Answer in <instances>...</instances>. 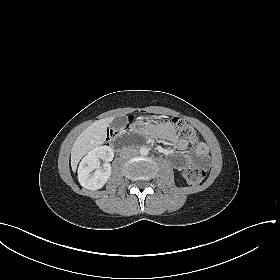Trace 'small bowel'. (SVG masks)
<instances>
[{
    "label": "small bowel",
    "mask_w": 280,
    "mask_h": 280,
    "mask_svg": "<svg viewBox=\"0 0 280 280\" xmlns=\"http://www.w3.org/2000/svg\"><path fill=\"white\" fill-rule=\"evenodd\" d=\"M161 133L164 135L165 138H167L169 141L173 142L174 144H176V146L178 147V149L180 150H185L188 147V142L185 139H181L176 135V132L173 128V126L169 123L164 124L161 127ZM208 147L205 143L201 142L199 143L193 154H189L187 153L185 155L184 160L182 161H178L175 163V167L178 170H183L185 169L187 166H189L192 162H193V157L195 156L202 165L204 166H208L210 159L208 156Z\"/></svg>",
    "instance_id": "1"
}]
</instances>
